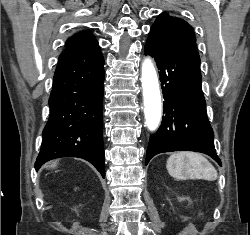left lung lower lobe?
I'll list each match as a JSON object with an SVG mask.
<instances>
[{"label":"left lung lower lobe","instance_id":"0a47b994","mask_svg":"<svg viewBox=\"0 0 250 235\" xmlns=\"http://www.w3.org/2000/svg\"><path fill=\"white\" fill-rule=\"evenodd\" d=\"M145 54L155 58L165 99V116L150 137L146 165L159 153L195 151L209 155L221 166L206 114L196 42L168 43L149 36Z\"/></svg>","mask_w":250,"mask_h":235}]
</instances>
